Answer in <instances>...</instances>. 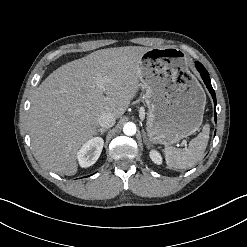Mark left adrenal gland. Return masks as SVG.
Segmentation results:
<instances>
[{"label":"left adrenal gland","instance_id":"1","mask_svg":"<svg viewBox=\"0 0 247 247\" xmlns=\"http://www.w3.org/2000/svg\"><path fill=\"white\" fill-rule=\"evenodd\" d=\"M143 139H144V142L147 145V147H149V143H148V140L146 138L145 132H143Z\"/></svg>","mask_w":247,"mask_h":247}]
</instances>
